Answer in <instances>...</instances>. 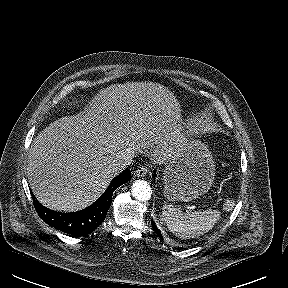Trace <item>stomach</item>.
<instances>
[{"label":"stomach","mask_w":288,"mask_h":288,"mask_svg":"<svg viewBox=\"0 0 288 288\" xmlns=\"http://www.w3.org/2000/svg\"><path fill=\"white\" fill-rule=\"evenodd\" d=\"M215 176L213 156L201 141L182 144L163 172L164 197L169 201H192L205 194Z\"/></svg>","instance_id":"0dacf381"}]
</instances>
